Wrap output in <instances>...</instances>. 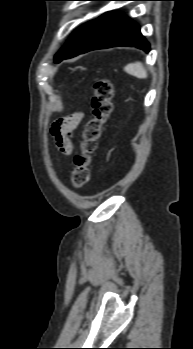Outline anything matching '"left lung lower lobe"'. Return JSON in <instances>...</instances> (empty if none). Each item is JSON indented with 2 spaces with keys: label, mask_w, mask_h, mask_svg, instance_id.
<instances>
[{
  "label": "left lung lower lobe",
  "mask_w": 193,
  "mask_h": 349,
  "mask_svg": "<svg viewBox=\"0 0 193 349\" xmlns=\"http://www.w3.org/2000/svg\"><path fill=\"white\" fill-rule=\"evenodd\" d=\"M116 46H135L147 53L150 50L149 43L136 23L121 13L110 11L94 20L74 47L55 59V62L91 50Z\"/></svg>",
  "instance_id": "obj_1"
}]
</instances>
